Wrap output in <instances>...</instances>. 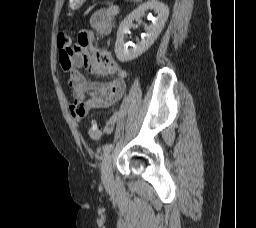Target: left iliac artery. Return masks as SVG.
<instances>
[{
    "instance_id": "44dca946",
    "label": "left iliac artery",
    "mask_w": 256,
    "mask_h": 228,
    "mask_svg": "<svg viewBox=\"0 0 256 228\" xmlns=\"http://www.w3.org/2000/svg\"><path fill=\"white\" fill-rule=\"evenodd\" d=\"M112 147H113V145L111 143L110 144H106L103 147L104 155H107L111 151Z\"/></svg>"
}]
</instances>
